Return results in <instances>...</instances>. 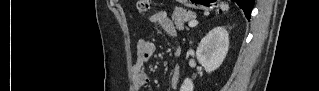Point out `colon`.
I'll return each mask as SVG.
<instances>
[{"label": "colon", "instance_id": "1", "mask_svg": "<svg viewBox=\"0 0 319 91\" xmlns=\"http://www.w3.org/2000/svg\"><path fill=\"white\" fill-rule=\"evenodd\" d=\"M150 10V1L140 0L138 1V11L142 14L147 13Z\"/></svg>", "mask_w": 319, "mask_h": 91}]
</instances>
